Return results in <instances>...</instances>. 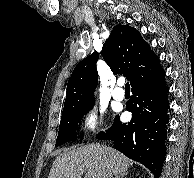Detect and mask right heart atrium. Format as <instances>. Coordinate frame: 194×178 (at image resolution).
Wrapping results in <instances>:
<instances>
[{
  "instance_id": "1",
  "label": "right heart atrium",
  "mask_w": 194,
  "mask_h": 178,
  "mask_svg": "<svg viewBox=\"0 0 194 178\" xmlns=\"http://www.w3.org/2000/svg\"><path fill=\"white\" fill-rule=\"evenodd\" d=\"M81 131L85 135H93L104 129V115L96 109L87 110L80 123Z\"/></svg>"
}]
</instances>
